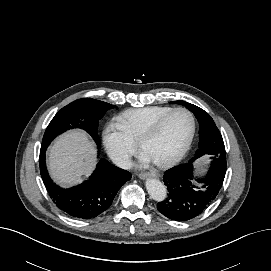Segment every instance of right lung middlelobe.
Masks as SVG:
<instances>
[{
    "instance_id": "obj_1",
    "label": "right lung middle lobe",
    "mask_w": 271,
    "mask_h": 271,
    "mask_svg": "<svg viewBox=\"0 0 271 271\" xmlns=\"http://www.w3.org/2000/svg\"><path fill=\"white\" fill-rule=\"evenodd\" d=\"M114 107L115 105L92 98H82L68 104L49 123L42 140L41 150L45 151L57 135L72 128H81L88 132L100 148L97 134L99 120L106 111Z\"/></svg>"
}]
</instances>
